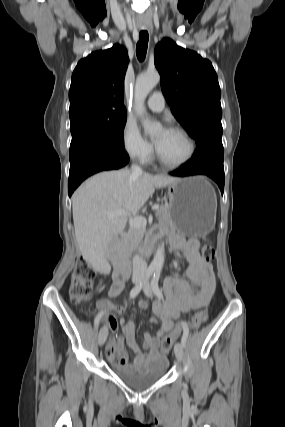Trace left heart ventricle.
<instances>
[{"mask_svg":"<svg viewBox=\"0 0 285 427\" xmlns=\"http://www.w3.org/2000/svg\"><path fill=\"white\" fill-rule=\"evenodd\" d=\"M154 141L159 155L168 162L180 161L188 152V143L185 138L173 131L158 132Z\"/></svg>","mask_w":285,"mask_h":427,"instance_id":"1","label":"left heart ventricle"}]
</instances>
